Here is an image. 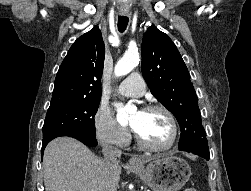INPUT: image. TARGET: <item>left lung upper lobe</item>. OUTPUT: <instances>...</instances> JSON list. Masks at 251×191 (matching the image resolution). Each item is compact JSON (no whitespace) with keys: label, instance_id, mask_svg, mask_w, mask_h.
<instances>
[{"label":"left lung upper lobe","instance_id":"5c2ea615","mask_svg":"<svg viewBox=\"0 0 251 191\" xmlns=\"http://www.w3.org/2000/svg\"><path fill=\"white\" fill-rule=\"evenodd\" d=\"M141 51L142 75L151 93L180 125L179 150L194 149L209 156L198 98L177 47L165 33L151 26L143 36Z\"/></svg>","mask_w":251,"mask_h":191}]
</instances>
